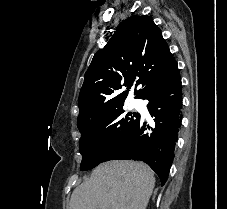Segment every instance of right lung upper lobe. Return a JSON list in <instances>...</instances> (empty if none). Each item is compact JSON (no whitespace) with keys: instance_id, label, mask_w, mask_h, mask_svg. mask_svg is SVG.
Returning <instances> with one entry per match:
<instances>
[{"instance_id":"obj_1","label":"right lung upper lobe","mask_w":227,"mask_h":209,"mask_svg":"<svg viewBox=\"0 0 227 209\" xmlns=\"http://www.w3.org/2000/svg\"><path fill=\"white\" fill-rule=\"evenodd\" d=\"M173 64L176 61L150 16L134 15L124 20L106 46L96 52L85 73L78 119L102 113L106 99H126L136 79V86L142 84L136 98L143 99L167 73L156 74L153 69ZM122 86L128 88L120 93Z\"/></svg>"}]
</instances>
